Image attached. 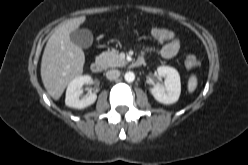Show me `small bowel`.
Masks as SVG:
<instances>
[{
  "mask_svg": "<svg viewBox=\"0 0 248 165\" xmlns=\"http://www.w3.org/2000/svg\"><path fill=\"white\" fill-rule=\"evenodd\" d=\"M180 49V41L177 38L167 40L160 51V56L164 59H171L175 57Z\"/></svg>",
  "mask_w": 248,
  "mask_h": 165,
  "instance_id": "small-bowel-1",
  "label": "small bowel"
}]
</instances>
